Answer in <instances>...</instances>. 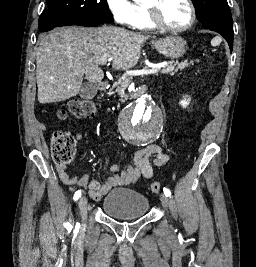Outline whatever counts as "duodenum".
Wrapping results in <instances>:
<instances>
[{"label":"duodenum","instance_id":"obj_1","mask_svg":"<svg viewBox=\"0 0 256 267\" xmlns=\"http://www.w3.org/2000/svg\"><path fill=\"white\" fill-rule=\"evenodd\" d=\"M98 89H100L101 91H105L106 89H109V84H107L106 81H101L100 84H98ZM144 89H145V86H142V89H133L132 98L133 99L144 98V95H140V94H144Z\"/></svg>","mask_w":256,"mask_h":267}]
</instances>
